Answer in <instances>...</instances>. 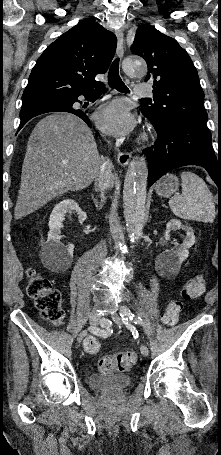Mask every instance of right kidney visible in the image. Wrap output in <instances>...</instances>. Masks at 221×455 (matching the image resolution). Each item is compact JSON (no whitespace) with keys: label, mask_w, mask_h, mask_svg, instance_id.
Listing matches in <instances>:
<instances>
[{"label":"right kidney","mask_w":221,"mask_h":455,"mask_svg":"<svg viewBox=\"0 0 221 455\" xmlns=\"http://www.w3.org/2000/svg\"><path fill=\"white\" fill-rule=\"evenodd\" d=\"M73 212L77 214L80 223L86 220V213L72 199H65L56 204L50 215L48 238L42 244L40 257L44 265L52 270L65 269L72 262L74 245L65 246L60 240L65 215Z\"/></svg>","instance_id":"ca27d5eb"}]
</instances>
